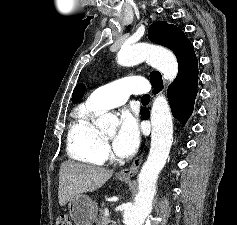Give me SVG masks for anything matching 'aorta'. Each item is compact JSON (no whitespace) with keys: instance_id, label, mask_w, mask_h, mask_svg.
<instances>
[{"instance_id":"obj_1","label":"aorta","mask_w":237,"mask_h":225,"mask_svg":"<svg viewBox=\"0 0 237 225\" xmlns=\"http://www.w3.org/2000/svg\"><path fill=\"white\" fill-rule=\"evenodd\" d=\"M120 65H136L143 61L159 70L166 83L172 82L178 73V63L174 54L151 44H135L123 47L117 53ZM118 125L115 115L107 113L96 120V126L105 131L114 130ZM151 146L146 162L138 175L139 191L134 204L124 210L125 225H142L152 209L156 193V182L166 164L173 142V121L170 106L164 94L156 96L151 110Z\"/></svg>"}]
</instances>
